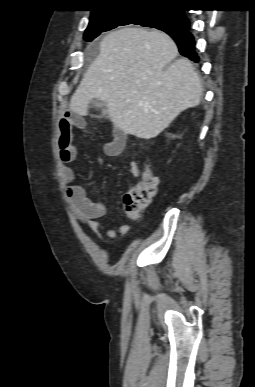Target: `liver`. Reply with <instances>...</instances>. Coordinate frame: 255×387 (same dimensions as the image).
I'll use <instances>...</instances> for the list:
<instances>
[{
    "instance_id": "obj_1",
    "label": "liver",
    "mask_w": 255,
    "mask_h": 387,
    "mask_svg": "<svg viewBox=\"0 0 255 387\" xmlns=\"http://www.w3.org/2000/svg\"><path fill=\"white\" fill-rule=\"evenodd\" d=\"M177 55L175 42L162 31L129 27L107 34L71 97L70 110L86 116L89 102L97 99L124 134L155 138L201 99L198 74L189 60H175Z\"/></svg>"
}]
</instances>
